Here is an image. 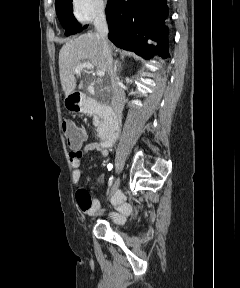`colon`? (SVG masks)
<instances>
[{
    "label": "colon",
    "instance_id": "1",
    "mask_svg": "<svg viewBox=\"0 0 240 288\" xmlns=\"http://www.w3.org/2000/svg\"><path fill=\"white\" fill-rule=\"evenodd\" d=\"M62 128L70 147L82 144L85 139V135L73 122L64 121Z\"/></svg>",
    "mask_w": 240,
    "mask_h": 288
}]
</instances>
